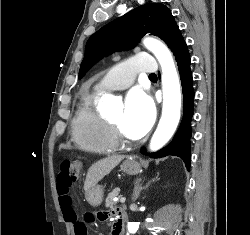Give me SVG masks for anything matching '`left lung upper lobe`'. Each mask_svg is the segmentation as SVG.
Segmentation results:
<instances>
[{
  "mask_svg": "<svg viewBox=\"0 0 250 235\" xmlns=\"http://www.w3.org/2000/svg\"><path fill=\"white\" fill-rule=\"evenodd\" d=\"M180 32L171 11L161 3H147L108 23L87 41L79 78L98 60L115 51L130 49L147 33L171 48Z\"/></svg>",
  "mask_w": 250,
  "mask_h": 235,
  "instance_id": "obj_1",
  "label": "left lung upper lobe"
}]
</instances>
